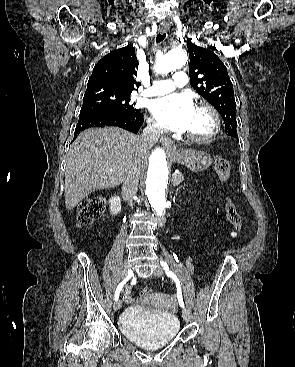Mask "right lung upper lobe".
Returning a JSON list of instances; mask_svg holds the SVG:
<instances>
[{
	"mask_svg": "<svg viewBox=\"0 0 295 367\" xmlns=\"http://www.w3.org/2000/svg\"><path fill=\"white\" fill-rule=\"evenodd\" d=\"M137 66L135 48L131 44L111 51L95 65L87 90L101 88L121 94H131L139 87V83L134 80V76L137 75Z\"/></svg>",
	"mask_w": 295,
	"mask_h": 367,
	"instance_id": "1",
	"label": "right lung upper lobe"
}]
</instances>
